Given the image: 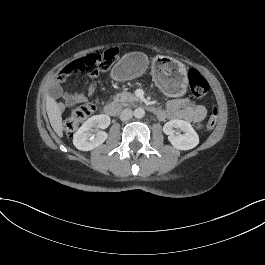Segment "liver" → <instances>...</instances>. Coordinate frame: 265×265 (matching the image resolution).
I'll use <instances>...</instances> for the list:
<instances>
[{"label":"liver","mask_w":265,"mask_h":265,"mask_svg":"<svg viewBox=\"0 0 265 265\" xmlns=\"http://www.w3.org/2000/svg\"><path fill=\"white\" fill-rule=\"evenodd\" d=\"M46 110L52 129L58 138H63L62 109L57 101L50 95H46Z\"/></svg>","instance_id":"liver-1"}]
</instances>
